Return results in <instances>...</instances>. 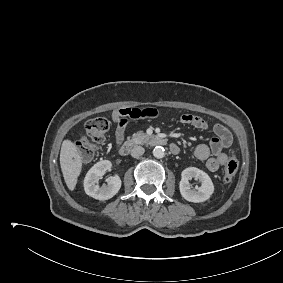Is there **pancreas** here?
<instances>
[{
  "instance_id": "obj_1",
  "label": "pancreas",
  "mask_w": 283,
  "mask_h": 283,
  "mask_svg": "<svg viewBox=\"0 0 283 283\" xmlns=\"http://www.w3.org/2000/svg\"><path fill=\"white\" fill-rule=\"evenodd\" d=\"M148 139V136L142 132V131H139L137 133H134L132 135V139L131 141L135 144H142L144 143L146 140Z\"/></svg>"
}]
</instances>
